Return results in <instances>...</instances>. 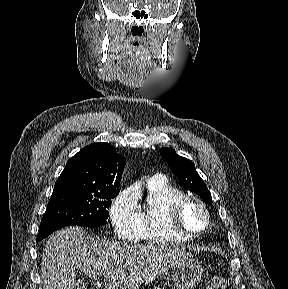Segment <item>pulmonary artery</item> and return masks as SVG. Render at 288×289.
I'll return each mask as SVG.
<instances>
[{
	"label": "pulmonary artery",
	"instance_id": "1",
	"mask_svg": "<svg viewBox=\"0 0 288 289\" xmlns=\"http://www.w3.org/2000/svg\"><path fill=\"white\" fill-rule=\"evenodd\" d=\"M163 180H164V177L162 175L156 174L148 179V183H156V182H160Z\"/></svg>",
	"mask_w": 288,
	"mask_h": 289
}]
</instances>
